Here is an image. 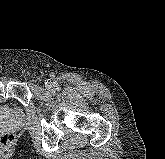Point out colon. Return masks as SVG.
I'll list each match as a JSON object with an SVG mask.
<instances>
[{
  "mask_svg": "<svg viewBox=\"0 0 165 159\" xmlns=\"http://www.w3.org/2000/svg\"><path fill=\"white\" fill-rule=\"evenodd\" d=\"M15 141V137L10 132L0 134V146L11 147Z\"/></svg>",
  "mask_w": 165,
  "mask_h": 159,
  "instance_id": "1",
  "label": "colon"
}]
</instances>
